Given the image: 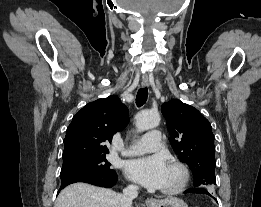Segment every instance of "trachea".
<instances>
[{
    "label": "trachea",
    "mask_w": 261,
    "mask_h": 207,
    "mask_svg": "<svg viewBox=\"0 0 261 207\" xmlns=\"http://www.w3.org/2000/svg\"><path fill=\"white\" fill-rule=\"evenodd\" d=\"M147 97H148V89H147V87L139 89L138 93L136 95V105L138 107H141L142 105H144L146 100H147Z\"/></svg>",
    "instance_id": "obj_1"
}]
</instances>
